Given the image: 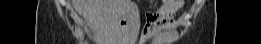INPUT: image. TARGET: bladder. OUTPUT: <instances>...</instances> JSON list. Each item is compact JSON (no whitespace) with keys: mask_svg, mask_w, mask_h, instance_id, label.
Masks as SVG:
<instances>
[{"mask_svg":"<svg viewBox=\"0 0 261 44\" xmlns=\"http://www.w3.org/2000/svg\"><path fill=\"white\" fill-rule=\"evenodd\" d=\"M98 9H102V6H101V7H98Z\"/></svg>","mask_w":261,"mask_h":44,"instance_id":"bladder-1","label":"bladder"}]
</instances>
